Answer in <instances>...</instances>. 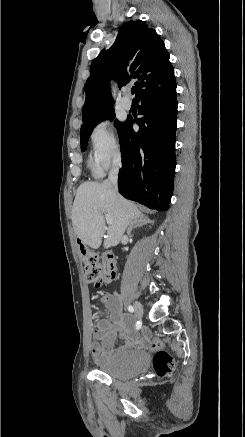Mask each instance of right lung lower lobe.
<instances>
[{
	"label": "right lung lower lobe",
	"mask_w": 245,
	"mask_h": 437,
	"mask_svg": "<svg viewBox=\"0 0 245 437\" xmlns=\"http://www.w3.org/2000/svg\"><path fill=\"white\" fill-rule=\"evenodd\" d=\"M139 131L127 119L119 134L122 168L119 192L151 209L165 211L173 192L175 132L177 127L176 83L136 98Z\"/></svg>",
	"instance_id": "98d812e1"
}]
</instances>
